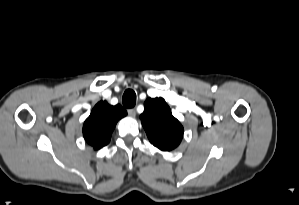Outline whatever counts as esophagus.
Listing matches in <instances>:
<instances>
[{
	"instance_id": "esophagus-1",
	"label": "esophagus",
	"mask_w": 299,
	"mask_h": 205,
	"mask_svg": "<svg viewBox=\"0 0 299 205\" xmlns=\"http://www.w3.org/2000/svg\"><path fill=\"white\" fill-rule=\"evenodd\" d=\"M128 115L134 117L136 115V110L134 108H130L127 110Z\"/></svg>"
}]
</instances>
